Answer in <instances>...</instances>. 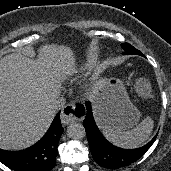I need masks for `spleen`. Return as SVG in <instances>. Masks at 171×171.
Segmentation results:
<instances>
[{
  "instance_id": "spleen-1",
  "label": "spleen",
  "mask_w": 171,
  "mask_h": 171,
  "mask_svg": "<svg viewBox=\"0 0 171 171\" xmlns=\"http://www.w3.org/2000/svg\"><path fill=\"white\" fill-rule=\"evenodd\" d=\"M98 124L103 135L114 145L127 149L140 147L150 137L154 121L151 117H146L135 128L129 131H121L107 124Z\"/></svg>"
}]
</instances>
